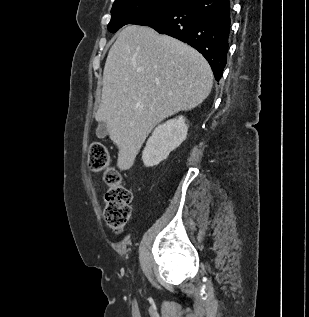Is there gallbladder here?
I'll list each match as a JSON object with an SVG mask.
<instances>
[{
	"label": "gallbladder",
	"instance_id": "1",
	"mask_svg": "<svg viewBox=\"0 0 309 317\" xmlns=\"http://www.w3.org/2000/svg\"><path fill=\"white\" fill-rule=\"evenodd\" d=\"M107 126L104 121H101L98 123V126L96 128V136L100 139H103L107 136Z\"/></svg>",
	"mask_w": 309,
	"mask_h": 317
}]
</instances>
